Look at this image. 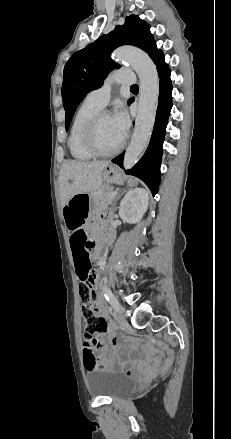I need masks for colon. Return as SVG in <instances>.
<instances>
[{
	"mask_svg": "<svg viewBox=\"0 0 231 439\" xmlns=\"http://www.w3.org/2000/svg\"><path fill=\"white\" fill-rule=\"evenodd\" d=\"M86 238L87 237L85 235L81 234L74 236L77 254H79L80 243L86 240ZM77 275L80 280L79 296L82 301V313L85 318V338L87 341H95L94 336L96 334L106 333L109 328L103 318L94 315V308L98 301V294L94 289V278L91 274L90 264L79 263L77 267ZM143 339L149 346L160 350L164 354L162 370L163 372H167L173 364L174 352L165 342L153 336L144 335ZM83 363L84 367L88 370L101 369L105 367V363L97 360L94 353L91 351H88L84 354Z\"/></svg>",
	"mask_w": 231,
	"mask_h": 439,
	"instance_id": "colon-1",
	"label": "colon"
}]
</instances>
